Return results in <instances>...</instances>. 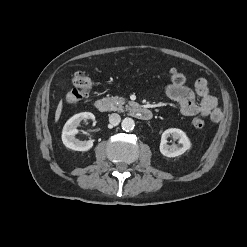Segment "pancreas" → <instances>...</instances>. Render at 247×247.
Returning a JSON list of instances; mask_svg holds the SVG:
<instances>
[{
	"instance_id": "cf45deb5",
	"label": "pancreas",
	"mask_w": 247,
	"mask_h": 247,
	"mask_svg": "<svg viewBox=\"0 0 247 247\" xmlns=\"http://www.w3.org/2000/svg\"><path fill=\"white\" fill-rule=\"evenodd\" d=\"M109 101L112 106V110L118 111V112H123L124 110V104H125V99L123 97L115 96V97H110ZM129 105H132V102H129ZM126 108H128V105H126Z\"/></svg>"
}]
</instances>
